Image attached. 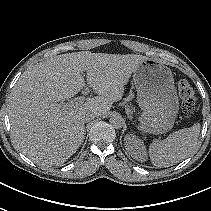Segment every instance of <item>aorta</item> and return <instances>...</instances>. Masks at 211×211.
Returning <instances> with one entry per match:
<instances>
[{"mask_svg": "<svg viewBox=\"0 0 211 211\" xmlns=\"http://www.w3.org/2000/svg\"><path fill=\"white\" fill-rule=\"evenodd\" d=\"M110 124L115 127V128H121L124 124V120L122 118V116L120 115H113L111 118H110Z\"/></svg>", "mask_w": 211, "mask_h": 211, "instance_id": "762f6f07", "label": "aorta"}]
</instances>
